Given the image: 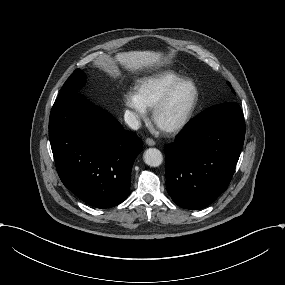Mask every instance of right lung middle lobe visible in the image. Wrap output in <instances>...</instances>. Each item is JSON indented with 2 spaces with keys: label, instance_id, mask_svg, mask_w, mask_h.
I'll return each mask as SVG.
<instances>
[{
  "label": "right lung middle lobe",
  "instance_id": "obj_1",
  "mask_svg": "<svg viewBox=\"0 0 285 285\" xmlns=\"http://www.w3.org/2000/svg\"><path fill=\"white\" fill-rule=\"evenodd\" d=\"M84 83L85 74L81 72L80 69H76L64 83L59 96L66 95L71 92H78Z\"/></svg>",
  "mask_w": 285,
  "mask_h": 285
}]
</instances>
